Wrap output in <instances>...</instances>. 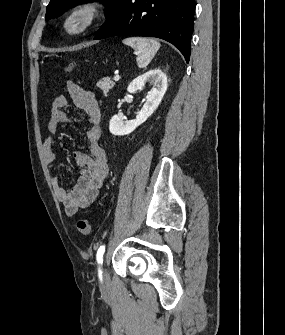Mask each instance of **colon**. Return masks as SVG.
<instances>
[{
  "instance_id": "1",
  "label": "colon",
  "mask_w": 285,
  "mask_h": 335,
  "mask_svg": "<svg viewBox=\"0 0 285 335\" xmlns=\"http://www.w3.org/2000/svg\"><path fill=\"white\" fill-rule=\"evenodd\" d=\"M74 69H75V64L72 62L68 63L65 67V71L68 74H71L74 71ZM76 226H77V230L83 235H87L91 231L90 223L87 219H84V218L79 219L77 221Z\"/></svg>"
}]
</instances>
